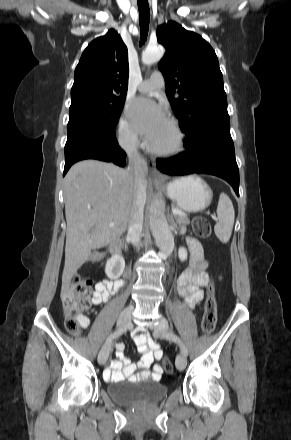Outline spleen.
I'll use <instances>...</instances> for the list:
<instances>
[{
	"label": "spleen",
	"mask_w": 291,
	"mask_h": 440,
	"mask_svg": "<svg viewBox=\"0 0 291 440\" xmlns=\"http://www.w3.org/2000/svg\"><path fill=\"white\" fill-rule=\"evenodd\" d=\"M217 216L215 234L222 243H227L233 230L235 212L231 199L225 193L219 196Z\"/></svg>",
	"instance_id": "spleen-1"
}]
</instances>
